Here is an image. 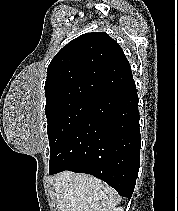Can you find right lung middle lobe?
<instances>
[{
  "instance_id": "right-lung-middle-lobe-1",
  "label": "right lung middle lobe",
  "mask_w": 178,
  "mask_h": 211,
  "mask_svg": "<svg viewBox=\"0 0 178 211\" xmlns=\"http://www.w3.org/2000/svg\"><path fill=\"white\" fill-rule=\"evenodd\" d=\"M96 101L88 98L74 99L45 109L50 155L86 116Z\"/></svg>"
}]
</instances>
